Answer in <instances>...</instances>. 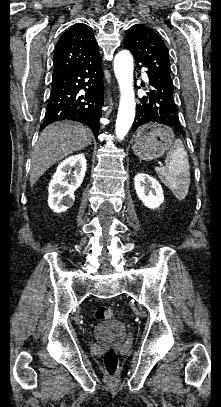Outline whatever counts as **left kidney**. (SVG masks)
I'll list each match as a JSON object with an SVG mask.
<instances>
[{
  "label": "left kidney",
  "mask_w": 221,
  "mask_h": 407,
  "mask_svg": "<svg viewBox=\"0 0 221 407\" xmlns=\"http://www.w3.org/2000/svg\"><path fill=\"white\" fill-rule=\"evenodd\" d=\"M134 185L137 196L146 207L155 209L164 202L160 183L148 174L138 173L134 178Z\"/></svg>",
  "instance_id": "5707ae66"
}]
</instances>
